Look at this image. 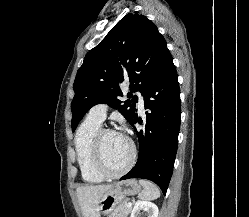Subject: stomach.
I'll use <instances>...</instances> for the list:
<instances>
[{
    "instance_id": "0dacf381",
    "label": "stomach",
    "mask_w": 249,
    "mask_h": 217,
    "mask_svg": "<svg viewBox=\"0 0 249 217\" xmlns=\"http://www.w3.org/2000/svg\"><path fill=\"white\" fill-rule=\"evenodd\" d=\"M140 189L141 187L135 179L116 182L100 198L98 204L99 211L103 214H110L128 196L138 194Z\"/></svg>"
}]
</instances>
